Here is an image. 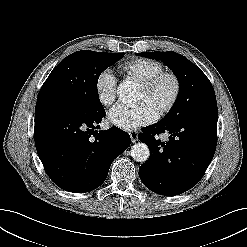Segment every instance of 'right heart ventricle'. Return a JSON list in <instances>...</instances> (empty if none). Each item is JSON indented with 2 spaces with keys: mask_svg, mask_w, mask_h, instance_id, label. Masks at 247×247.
<instances>
[{
  "mask_svg": "<svg viewBox=\"0 0 247 247\" xmlns=\"http://www.w3.org/2000/svg\"><path fill=\"white\" fill-rule=\"evenodd\" d=\"M120 70L127 77L142 83L143 81L162 72L164 66L156 60L139 58L125 62L121 66Z\"/></svg>",
  "mask_w": 247,
  "mask_h": 247,
  "instance_id": "right-heart-ventricle-1",
  "label": "right heart ventricle"
}]
</instances>
